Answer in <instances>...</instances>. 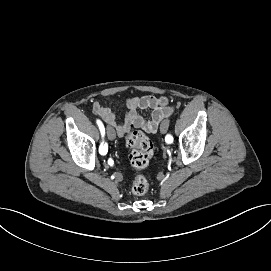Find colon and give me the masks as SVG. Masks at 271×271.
<instances>
[{"mask_svg": "<svg viewBox=\"0 0 271 271\" xmlns=\"http://www.w3.org/2000/svg\"><path fill=\"white\" fill-rule=\"evenodd\" d=\"M126 144L131 149L130 164L135 169V177L132 183V192L135 195H143L149 189L147 178L140 173L154 154V146L151 140L142 132L133 131L126 136Z\"/></svg>", "mask_w": 271, "mask_h": 271, "instance_id": "1", "label": "colon"}]
</instances>
